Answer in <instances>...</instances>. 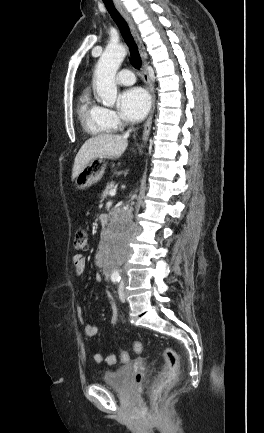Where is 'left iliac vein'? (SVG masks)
Masks as SVG:
<instances>
[{
  "label": "left iliac vein",
  "instance_id": "obj_1",
  "mask_svg": "<svg viewBox=\"0 0 264 433\" xmlns=\"http://www.w3.org/2000/svg\"><path fill=\"white\" fill-rule=\"evenodd\" d=\"M118 294H119V298L122 302L125 301V294H124V282L121 281L119 284V288H118Z\"/></svg>",
  "mask_w": 264,
  "mask_h": 433
}]
</instances>
